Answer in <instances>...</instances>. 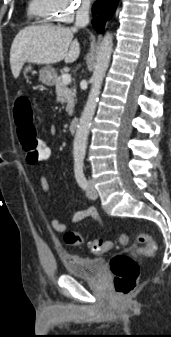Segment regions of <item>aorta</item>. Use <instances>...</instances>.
Wrapping results in <instances>:
<instances>
[{
	"instance_id": "1",
	"label": "aorta",
	"mask_w": 171,
	"mask_h": 337,
	"mask_svg": "<svg viewBox=\"0 0 171 337\" xmlns=\"http://www.w3.org/2000/svg\"><path fill=\"white\" fill-rule=\"evenodd\" d=\"M112 50L113 36L107 32L99 45L96 63L91 77L92 85L90 93L77 126L73 143L74 157L83 158L85 156L90 124L97 107L103 78L109 66Z\"/></svg>"
}]
</instances>
